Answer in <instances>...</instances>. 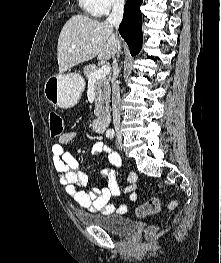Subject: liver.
Segmentation results:
<instances>
[{
	"label": "liver",
	"mask_w": 221,
	"mask_h": 263,
	"mask_svg": "<svg viewBox=\"0 0 221 263\" xmlns=\"http://www.w3.org/2000/svg\"><path fill=\"white\" fill-rule=\"evenodd\" d=\"M121 40L108 22H99L85 15H74L63 26L57 46L59 72L89 61L110 60Z\"/></svg>",
	"instance_id": "6515ba94"
}]
</instances>
